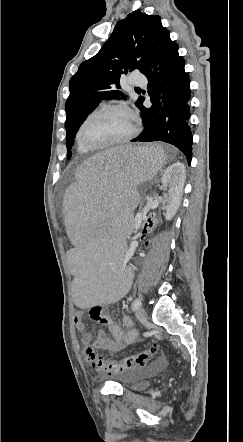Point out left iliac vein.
<instances>
[{"instance_id":"obj_1","label":"left iliac vein","mask_w":243,"mask_h":442,"mask_svg":"<svg viewBox=\"0 0 243 442\" xmlns=\"http://www.w3.org/2000/svg\"><path fill=\"white\" fill-rule=\"evenodd\" d=\"M136 318L139 322L144 323L147 320V312L144 308L139 307L136 311Z\"/></svg>"}]
</instances>
